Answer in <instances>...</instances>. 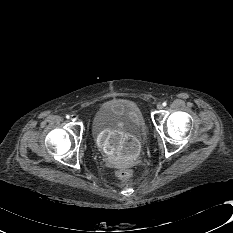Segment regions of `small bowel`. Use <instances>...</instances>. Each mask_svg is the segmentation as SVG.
<instances>
[{
    "label": "small bowel",
    "instance_id": "small-bowel-1",
    "mask_svg": "<svg viewBox=\"0 0 233 233\" xmlns=\"http://www.w3.org/2000/svg\"><path fill=\"white\" fill-rule=\"evenodd\" d=\"M98 142L101 148L109 149L110 155L119 162L130 161L137 152L136 142L127 135L106 133Z\"/></svg>",
    "mask_w": 233,
    "mask_h": 233
}]
</instances>
